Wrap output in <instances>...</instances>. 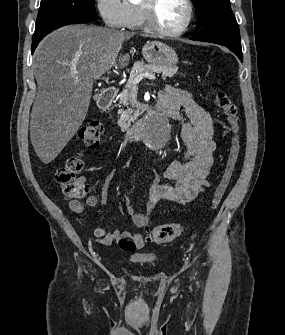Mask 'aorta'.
Instances as JSON below:
<instances>
[{"instance_id": "obj_1", "label": "aorta", "mask_w": 285, "mask_h": 335, "mask_svg": "<svg viewBox=\"0 0 285 335\" xmlns=\"http://www.w3.org/2000/svg\"><path fill=\"white\" fill-rule=\"evenodd\" d=\"M137 133L147 137L144 141L145 147H168V137H172L174 133L172 119H164V112H147L145 125L138 127Z\"/></svg>"}]
</instances>
